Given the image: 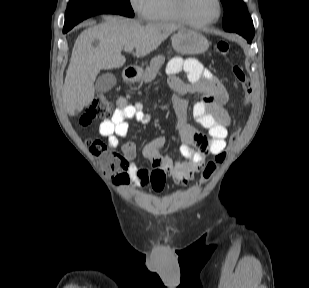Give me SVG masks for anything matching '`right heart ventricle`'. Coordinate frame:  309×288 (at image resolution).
I'll use <instances>...</instances> for the list:
<instances>
[{
  "instance_id": "1",
  "label": "right heart ventricle",
  "mask_w": 309,
  "mask_h": 288,
  "mask_svg": "<svg viewBox=\"0 0 309 288\" xmlns=\"http://www.w3.org/2000/svg\"><path fill=\"white\" fill-rule=\"evenodd\" d=\"M144 17L154 22L183 23L175 10L174 0H149Z\"/></svg>"
}]
</instances>
